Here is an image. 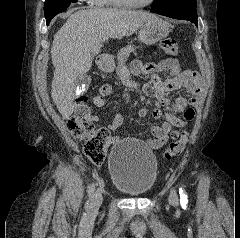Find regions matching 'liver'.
Listing matches in <instances>:
<instances>
[{
  "label": "liver",
  "instance_id": "liver-1",
  "mask_svg": "<svg viewBox=\"0 0 240 238\" xmlns=\"http://www.w3.org/2000/svg\"><path fill=\"white\" fill-rule=\"evenodd\" d=\"M159 18L145 11L94 8L71 14L54 36L51 48L55 67L51 97L63 119L74 111L79 80L91 69L92 49L108 39L130 36Z\"/></svg>",
  "mask_w": 240,
  "mask_h": 238
}]
</instances>
